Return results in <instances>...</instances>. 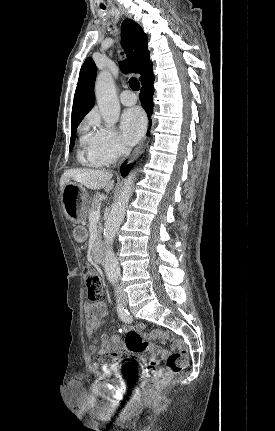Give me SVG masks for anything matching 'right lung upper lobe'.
I'll list each match as a JSON object with an SVG mask.
<instances>
[{"label": "right lung upper lobe", "instance_id": "obj_1", "mask_svg": "<svg viewBox=\"0 0 275 431\" xmlns=\"http://www.w3.org/2000/svg\"><path fill=\"white\" fill-rule=\"evenodd\" d=\"M121 43L127 55V61L120 64L123 73H140L141 83L147 82L153 75L150 52L147 48L148 37L143 29L133 20L125 19L122 23ZM96 65L92 58H87L81 67L75 90L71 128L78 127L84 116L93 108Z\"/></svg>", "mask_w": 275, "mask_h": 431}]
</instances>
